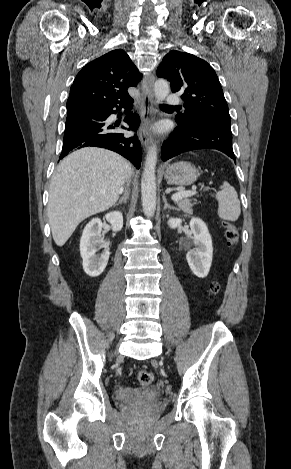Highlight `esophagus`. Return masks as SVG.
I'll use <instances>...</instances> for the list:
<instances>
[{
  "label": "esophagus",
  "instance_id": "1",
  "mask_svg": "<svg viewBox=\"0 0 291 469\" xmlns=\"http://www.w3.org/2000/svg\"><path fill=\"white\" fill-rule=\"evenodd\" d=\"M155 76L150 73L143 81L141 94V124L139 128V140L147 148L151 143L150 124L154 112L153 86Z\"/></svg>",
  "mask_w": 291,
  "mask_h": 469
}]
</instances>
